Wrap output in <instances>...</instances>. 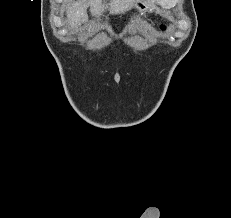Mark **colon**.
Masks as SVG:
<instances>
[{
  "mask_svg": "<svg viewBox=\"0 0 231 218\" xmlns=\"http://www.w3.org/2000/svg\"><path fill=\"white\" fill-rule=\"evenodd\" d=\"M161 27H162V28H165V26H164V25H162Z\"/></svg>",
  "mask_w": 231,
  "mask_h": 218,
  "instance_id": "1",
  "label": "colon"
}]
</instances>
